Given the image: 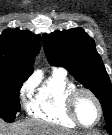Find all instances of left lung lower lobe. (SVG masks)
Instances as JSON below:
<instances>
[{
  "instance_id": "1",
  "label": "left lung lower lobe",
  "mask_w": 112,
  "mask_h": 135,
  "mask_svg": "<svg viewBox=\"0 0 112 135\" xmlns=\"http://www.w3.org/2000/svg\"><path fill=\"white\" fill-rule=\"evenodd\" d=\"M105 128L112 135V124L105 125Z\"/></svg>"
}]
</instances>
